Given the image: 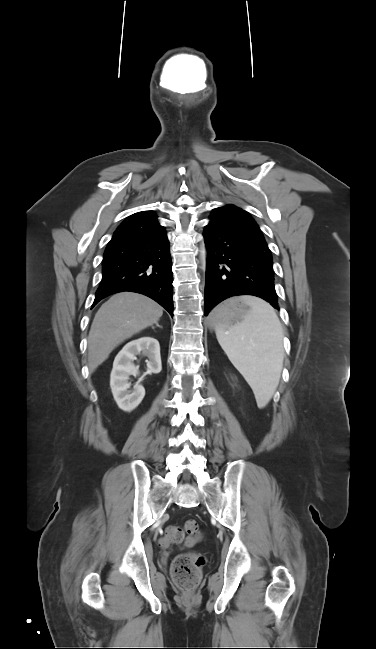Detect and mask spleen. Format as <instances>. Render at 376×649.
I'll use <instances>...</instances> for the list:
<instances>
[{
  "label": "spleen",
  "instance_id": "obj_1",
  "mask_svg": "<svg viewBox=\"0 0 376 649\" xmlns=\"http://www.w3.org/2000/svg\"><path fill=\"white\" fill-rule=\"evenodd\" d=\"M249 313L231 326L216 328L217 340L232 364L252 388L257 406L272 398L284 360L283 332L273 307L261 298L244 295Z\"/></svg>",
  "mask_w": 376,
  "mask_h": 649
}]
</instances>
